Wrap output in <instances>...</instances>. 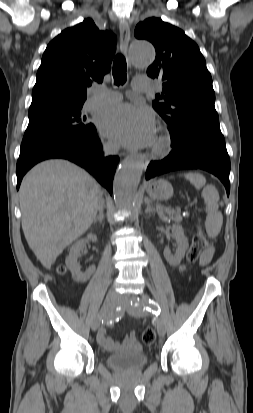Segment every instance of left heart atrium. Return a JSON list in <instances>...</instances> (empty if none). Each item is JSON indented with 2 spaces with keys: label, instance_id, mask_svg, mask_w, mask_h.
I'll use <instances>...</instances> for the list:
<instances>
[{
  "label": "left heart atrium",
  "instance_id": "1",
  "mask_svg": "<svg viewBox=\"0 0 253 413\" xmlns=\"http://www.w3.org/2000/svg\"><path fill=\"white\" fill-rule=\"evenodd\" d=\"M100 131L125 146H145L154 140L155 121L142 107L122 104L105 111L98 120Z\"/></svg>",
  "mask_w": 253,
  "mask_h": 413
}]
</instances>
